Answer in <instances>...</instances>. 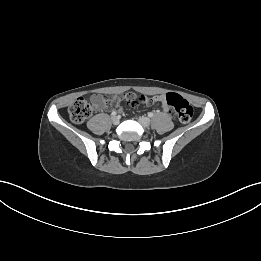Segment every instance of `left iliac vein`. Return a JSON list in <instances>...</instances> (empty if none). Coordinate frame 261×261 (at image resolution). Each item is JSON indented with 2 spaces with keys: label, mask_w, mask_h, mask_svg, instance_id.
Instances as JSON below:
<instances>
[{
  "label": "left iliac vein",
  "mask_w": 261,
  "mask_h": 261,
  "mask_svg": "<svg viewBox=\"0 0 261 261\" xmlns=\"http://www.w3.org/2000/svg\"><path fill=\"white\" fill-rule=\"evenodd\" d=\"M138 121L144 128L149 127L151 123L150 119L144 116L139 117Z\"/></svg>",
  "instance_id": "obj_1"
}]
</instances>
